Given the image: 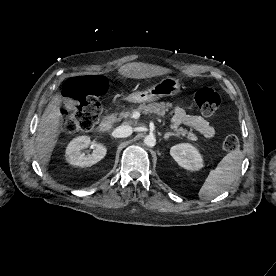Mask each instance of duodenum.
Wrapping results in <instances>:
<instances>
[{"label":"duodenum","instance_id":"410a0bca","mask_svg":"<svg viewBox=\"0 0 276 276\" xmlns=\"http://www.w3.org/2000/svg\"><path fill=\"white\" fill-rule=\"evenodd\" d=\"M114 123V117L112 115H108L99 125H98V132L99 133H106L108 132Z\"/></svg>","mask_w":276,"mask_h":276}]
</instances>
